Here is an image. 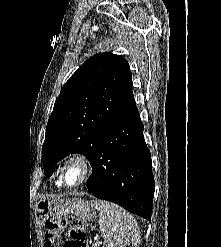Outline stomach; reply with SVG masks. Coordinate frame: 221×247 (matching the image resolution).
I'll list each match as a JSON object with an SVG mask.
<instances>
[{
  "mask_svg": "<svg viewBox=\"0 0 221 247\" xmlns=\"http://www.w3.org/2000/svg\"><path fill=\"white\" fill-rule=\"evenodd\" d=\"M96 203L97 201L88 202L81 199H42L36 204V211L43 221L67 215H75L83 221H90L96 218Z\"/></svg>",
  "mask_w": 221,
  "mask_h": 247,
  "instance_id": "obj_1",
  "label": "stomach"
}]
</instances>
